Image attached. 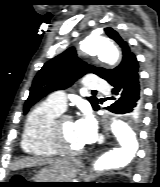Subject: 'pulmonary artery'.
<instances>
[{
  "label": "pulmonary artery",
  "mask_w": 160,
  "mask_h": 187,
  "mask_svg": "<svg viewBox=\"0 0 160 187\" xmlns=\"http://www.w3.org/2000/svg\"><path fill=\"white\" fill-rule=\"evenodd\" d=\"M83 87L86 90L96 91H106L109 88L108 84L104 80L95 75L87 76L83 80ZM48 101L63 111L66 108V93L64 91H56L48 97Z\"/></svg>",
  "instance_id": "1"
}]
</instances>
